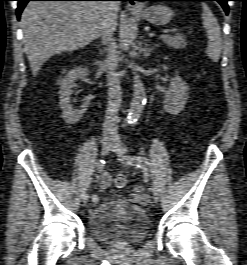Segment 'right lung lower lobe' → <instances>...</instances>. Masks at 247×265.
Segmentation results:
<instances>
[{"instance_id":"98d812e1","label":"right lung lower lobe","mask_w":247,"mask_h":265,"mask_svg":"<svg viewBox=\"0 0 247 265\" xmlns=\"http://www.w3.org/2000/svg\"><path fill=\"white\" fill-rule=\"evenodd\" d=\"M18 7L16 10L17 18L20 19V15L24 7L29 1H103V0H17ZM117 1H125V0H117Z\"/></svg>"}]
</instances>
